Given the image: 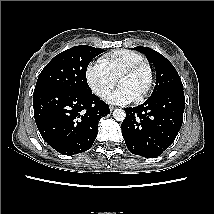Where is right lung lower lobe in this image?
Masks as SVG:
<instances>
[{"label":"right lung lower lobe","mask_w":214,"mask_h":214,"mask_svg":"<svg viewBox=\"0 0 214 214\" xmlns=\"http://www.w3.org/2000/svg\"><path fill=\"white\" fill-rule=\"evenodd\" d=\"M35 122L42 138L63 155L91 148L98 121L109 107L91 93L46 89L33 94Z\"/></svg>","instance_id":"obj_1"}]
</instances>
